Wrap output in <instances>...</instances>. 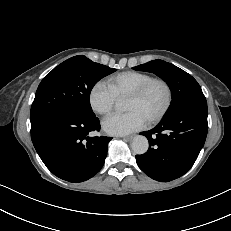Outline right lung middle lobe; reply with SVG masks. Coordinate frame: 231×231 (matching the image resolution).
<instances>
[{"label":"right lung middle lobe","instance_id":"1","mask_svg":"<svg viewBox=\"0 0 231 231\" xmlns=\"http://www.w3.org/2000/svg\"><path fill=\"white\" fill-rule=\"evenodd\" d=\"M115 71L83 55L58 65L41 81L36 91L30 113L31 128L65 111L95 116L90 105V92L101 78Z\"/></svg>","mask_w":231,"mask_h":231}]
</instances>
